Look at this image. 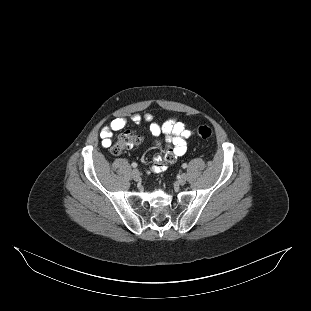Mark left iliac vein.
<instances>
[{
	"instance_id": "obj_1",
	"label": "left iliac vein",
	"mask_w": 311,
	"mask_h": 311,
	"mask_svg": "<svg viewBox=\"0 0 311 311\" xmlns=\"http://www.w3.org/2000/svg\"><path fill=\"white\" fill-rule=\"evenodd\" d=\"M186 181H187V175L185 173L181 174L180 177L178 178V184L184 185Z\"/></svg>"
}]
</instances>
